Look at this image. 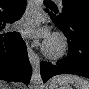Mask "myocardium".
Segmentation results:
<instances>
[{"mask_svg": "<svg viewBox=\"0 0 89 89\" xmlns=\"http://www.w3.org/2000/svg\"><path fill=\"white\" fill-rule=\"evenodd\" d=\"M42 49L47 58L58 60L67 53L68 41L62 33L55 32L44 42Z\"/></svg>", "mask_w": 89, "mask_h": 89, "instance_id": "obj_1", "label": "myocardium"}]
</instances>
